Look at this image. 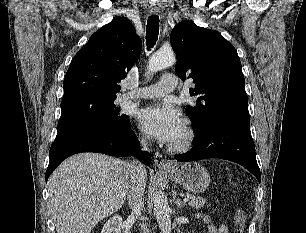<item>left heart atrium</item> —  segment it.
Instances as JSON below:
<instances>
[{
  "label": "left heart atrium",
  "mask_w": 306,
  "mask_h": 233,
  "mask_svg": "<svg viewBox=\"0 0 306 233\" xmlns=\"http://www.w3.org/2000/svg\"><path fill=\"white\" fill-rule=\"evenodd\" d=\"M142 128L163 142H173L184 128V120L170 102L155 104L139 113Z\"/></svg>",
  "instance_id": "1"
}]
</instances>
